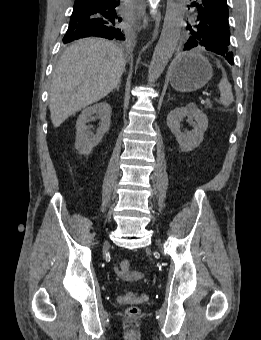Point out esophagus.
Masks as SVG:
<instances>
[{
  "label": "esophagus",
  "mask_w": 261,
  "mask_h": 340,
  "mask_svg": "<svg viewBox=\"0 0 261 340\" xmlns=\"http://www.w3.org/2000/svg\"><path fill=\"white\" fill-rule=\"evenodd\" d=\"M148 25V19L145 17L143 22V27H147Z\"/></svg>",
  "instance_id": "esophagus-1"
}]
</instances>
